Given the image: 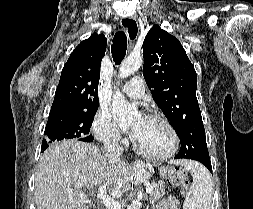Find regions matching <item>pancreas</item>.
I'll use <instances>...</instances> for the list:
<instances>
[{"instance_id": "obj_1", "label": "pancreas", "mask_w": 253, "mask_h": 209, "mask_svg": "<svg viewBox=\"0 0 253 209\" xmlns=\"http://www.w3.org/2000/svg\"><path fill=\"white\" fill-rule=\"evenodd\" d=\"M165 195V185L162 182L153 184V190L150 193V202L159 201Z\"/></svg>"}]
</instances>
